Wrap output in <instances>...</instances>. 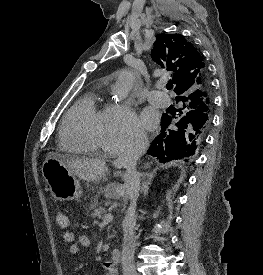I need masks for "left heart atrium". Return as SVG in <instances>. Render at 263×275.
Listing matches in <instances>:
<instances>
[{
  "instance_id": "39dd6f15",
  "label": "left heart atrium",
  "mask_w": 263,
  "mask_h": 275,
  "mask_svg": "<svg viewBox=\"0 0 263 275\" xmlns=\"http://www.w3.org/2000/svg\"><path fill=\"white\" fill-rule=\"evenodd\" d=\"M141 119L143 126L147 129H154L157 126L158 118L156 114L149 109L143 112Z\"/></svg>"
}]
</instances>
